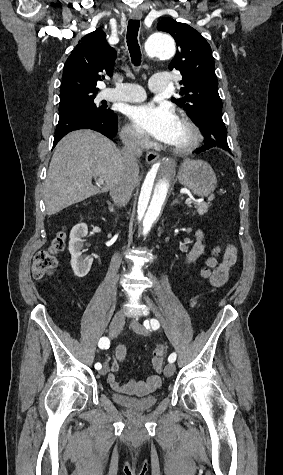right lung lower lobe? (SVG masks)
I'll list each match as a JSON object with an SVG mask.
<instances>
[{"mask_svg": "<svg viewBox=\"0 0 283 475\" xmlns=\"http://www.w3.org/2000/svg\"><path fill=\"white\" fill-rule=\"evenodd\" d=\"M117 115L112 111V115L107 118H99L85 110H71L59 114V122L55 130V145L69 132L79 129H91L113 138L117 133Z\"/></svg>", "mask_w": 283, "mask_h": 475, "instance_id": "98d812e1", "label": "right lung lower lobe"}]
</instances>
